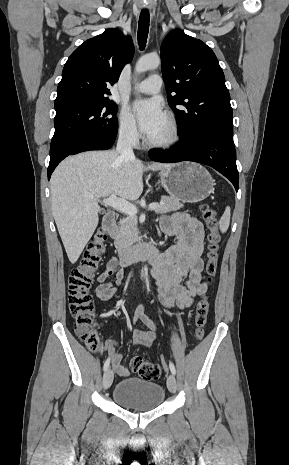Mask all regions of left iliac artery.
Returning a JSON list of instances; mask_svg holds the SVG:
<instances>
[{
  "instance_id": "44dca946",
  "label": "left iliac artery",
  "mask_w": 289,
  "mask_h": 465,
  "mask_svg": "<svg viewBox=\"0 0 289 465\" xmlns=\"http://www.w3.org/2000/svg\"><path fill=\"white\" fill-rule=\"evenodd\" d=\"M169 368H170V371L173 375L176 374V369H175V366L172 362H169Z\"/></svg>"
}]
</instances>
